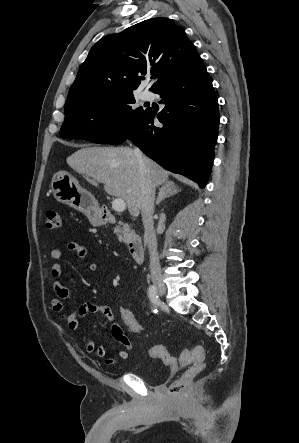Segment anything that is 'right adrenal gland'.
<instances>
[{
    "label": "right adrenal gland",
    "mask_w": 299,
    "mask_h": 443,
    "mask_svg": "<svg viewBox=\"0 0 299 443\" xmlns=\"http://www.w3.org/2000/svg\"><path fill=\"white\" fill-rule=\"evenodd\" d=\"M181 190L175 185L172 181L165 182L160 188L158 192V196L156 198V204L159 205L164 199L174 196L179 193Z\"/></svg>",
    "instance_id": "2a0ac1e0"
}]
</instances>
